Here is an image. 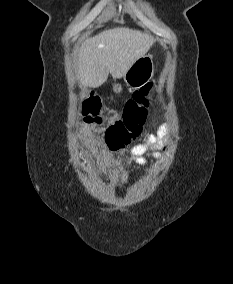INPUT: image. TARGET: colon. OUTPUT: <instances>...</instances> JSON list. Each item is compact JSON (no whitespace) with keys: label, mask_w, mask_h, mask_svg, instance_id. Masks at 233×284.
<instances>
[{"label":"colon","mask_w":233,"mask_h":284,"mask_svg":"<svg viewBox=\"0 0 233 284\" xmlns=\"http://www.w3.org/2000/svg\"><path fill=\"white\" fill-rule=\"evenodd\" d=\"M152 85L146 84L135 91L126 102L122 115L111 123L105 132V141L108 148L117 151L137 138L146 121L147 108L150 102ZM100 101L97 98H89L82 107L84 120L88 123H101Z\"/></svg>","instance_id":"colon-1"}]
</instances>
